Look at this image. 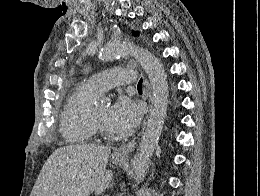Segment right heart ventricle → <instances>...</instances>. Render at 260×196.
<instances>
[{
    "label": "right heart ventricle",
    "instance_id": "obj_1",
    "mask_svg": "<svg viewBox=\"0 0 260 196\" xmlns=\"http://www.w3.org/2000/svg\"><path fill=\"white\" fill-rule=\"evenodd\" d=\"M99 97L89 83L74 85L62 114L61 132L70 143L93 140L90 116L92 103ZM50 192H55L50 190Z\"/></svg>",
    "mask_w": 260,
    "mask_h": 196
}]
</instances>
